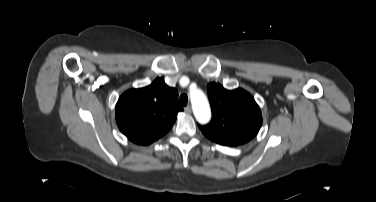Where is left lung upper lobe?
<instances>
[{
  "instance_id": "1",
  "label": "left lung upper lobe",
  "mask_w": 376,
  "mask_h": 202,
  "mask_svg": "<svg viewBox=\"0 0 376 202\" xmlns=\"http://www.w3.org/2000/svg\"><path fill=\"white\" fill-rule=\"evenodd\" d=\"M212 120L199 128L217 143L244 144L262 125L261 111L253 97L243 89L226 90L218 83L207 86Z\"/></svg>"
}]
</instances>
